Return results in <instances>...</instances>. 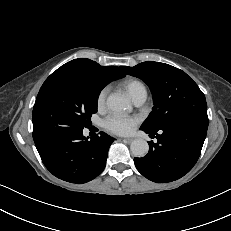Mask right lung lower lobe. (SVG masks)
<instances>
[{"mask_svg": "<svg viewBox=\"0 0 231 231\" xmlns=\"http://www.w3.org/2000/svg\"><path fill=\"white\" fill-rule=\"evenodd\" d=\"M91 140L83 130L54 139H34L46 168L57 178L82 184L93 180L106 166L108 149L113 137L100 132Z\"/></svg>", "mask_w": 231, "mask_h": 231, "instance_id": "98d812e1", "label": "right lung lower lobe"}]
</instances>
